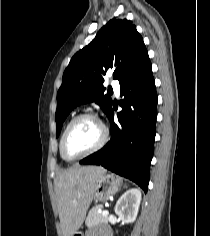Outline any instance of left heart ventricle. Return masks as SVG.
<instances>
[{"instance_id":"1","label":"left heart ventricle","mask_w":210,"mask_h":236,"mask_svg":"<svg viewBox=\"0 0 210 236\" xmlns=\"http://www.w3.org/2000/svg\"><path fill=\"white\" fill-rule=\"evenodd\" d=\"M101 137V127L93 119L84 118L70 128L64 143L65 155L77 157L94 147Z\"/></svg>"}]
</instances>
